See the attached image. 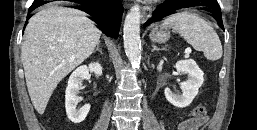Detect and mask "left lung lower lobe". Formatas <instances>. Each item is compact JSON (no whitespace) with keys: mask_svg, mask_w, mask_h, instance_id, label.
Segmentation results:
<instances>
[{"mask_svg":"<svg viewBox=\"0 0 257 130\" xmlns=\"http://www.w3.org/2000/svg\"><path fill=\"white\" fill-rule=\"evenodd\" d=\"M193 6H200L202 7V10L209 12L218 22L221 29L224 30L221 8L218 5L217 0H166L157 7L152 17L144 26L149 25L152 22L160 21L162 18L175 13L176 10Z\"/></svg>","mask_w":257,"mask_h":130,"instance_id":"obj_1","label":"left lung lower lobe"}]
</instances>
